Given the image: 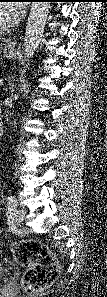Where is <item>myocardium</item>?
<instances>
[{
    "mask_svg": "<svg viewBox=\"0 0 107 297\" xmlns=\"http://www.w3.org/2000/svg\"><path fill=\"white\" fill-rule=\"evenodd\" d=\"M13 27L12 23L9 24H0V33L7 32Z\"/></svg>",
    "mask_w": 107,
    "mask_h": 297,
    "instance_id": "1",
    "label": "myocardium"
}]
</instances>
